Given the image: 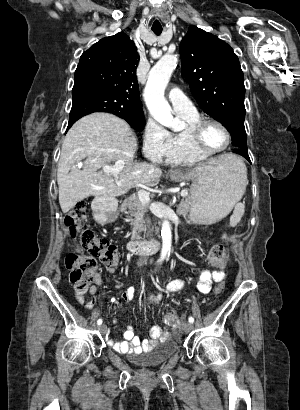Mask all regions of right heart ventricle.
<instances>
[{"label": "right heart ventricle", "instance_id": "e07e8e85", "mask_svg": "<svg viewBox=\"0 0 300 410\" xmlns=\"http://www.w3.org/2000/svg\"><path fill=\"white\" fill-rule=\"evenodd\" d=\"M177 114L186 123V127L181 131L168 132L167 149L162 159L179 165H195L206 160L209 156L196 151L188 136V127L199 119L198 112Z\"/></svg>", "mask_w": 300, "mask_h": 410}]
</instances>
